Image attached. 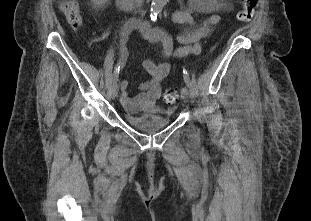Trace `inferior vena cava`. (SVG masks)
<instances>
[{
    "label": "inferior vena cava",
    "mask_w": 311,
    "mask_h": 221,
    "mask_svg": "<svg viewBox=\"0 0 311 221\" xmlns=\"http://www.w3.org/2000/svg\"><path fill=\"white\" fill-rule=\"evenodd\" d=\"M137 6H142L143 0H135Z\"/></svg>",
    "instance_id": "1"
}]
</instances>
